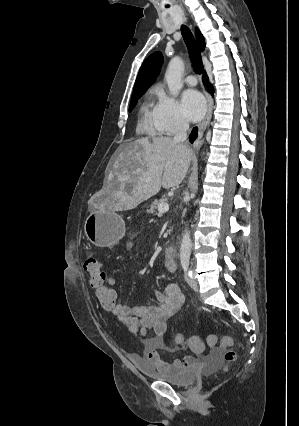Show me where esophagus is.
<instances>
[{"mask_svg":"<svg viewBox=\"0 0 299 426\" xmlns=\"http://www.w3.org/2000/svg\"><path fill=\"white\" fill-rule=\"evenodd\" d=\"M206 99H207V105H208L207 114H206L205 118L203 119V121L198 126L199 133H203V131L205 130V128L209 124L211 117H212L213 99L208 92H206Z\"/></svg>","mask_w":299,"mask_h":426,"instance_id":"34e87169","label":"esophagus"}]
</instances>
